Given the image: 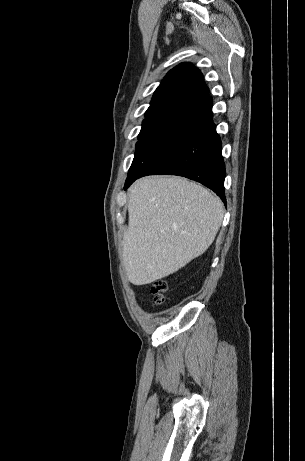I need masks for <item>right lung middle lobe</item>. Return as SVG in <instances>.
Segmentation results:
<instances>
[{
	"label": "right lung middle lobe",
	"instance_id": "1",
	"mask_svg": "<svg viewBox=\"0 0 305 461\" xmlns=\"http://www.w3.org/2000/svg\"><path fill=\"white\" fill-rule=\"evenodd\" d=\"M188 108L181 106H161L148 108L145 112L141 132L136 144V152L131 167H134L168 134L179 117ZM130 167V168H131Z\"/></svg>",
	"mask_w": 305,
	"mask_h": 461
}]
</instances>
